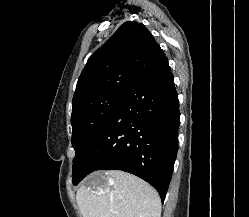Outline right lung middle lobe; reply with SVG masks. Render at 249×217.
<instances>
[{"instance_id":"obj_1","label":"right lung middle lobe","mask_w":249,"mask_h":217,"mask_svg":"<svg viewBox=\"0 0 249 217\" xmlns=\"http://www.w3.org/2000/svg\"><path fill=\"white\" fill-rule=\"evenodd\" d=\"M124 97L125 94L120 93L103 94L72 109V145L75 150L72 175L74 185L80 177L79 165L88 148Z\"/></svg>"}]
</instances>
